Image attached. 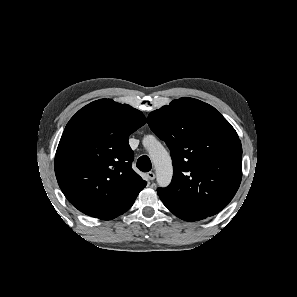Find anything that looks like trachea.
Returning <instances> with one entry per match:
<instances>
[{
    "mask_svg": "<svg viewBox=\"0 0 297 297\" xmlns=\"http://www.w3.org/2000/svg\"><path fill=\"white\" fill-rule=\"evenodd\" d=\"M137 168L143 172H149L152 168V164L150 161V158L146 155L141 156L138 160H137V164H136Z\"/></svg>",
    "mask_w": 297,
    "mask_h": 297,
    "instance_id": "trachea-1",
    "label": "trachea"
}]
</instances>
